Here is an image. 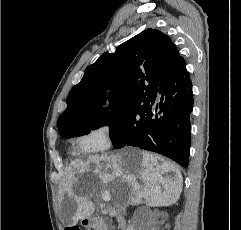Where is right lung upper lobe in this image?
<instances>
[{
    "label": "right lung upper lobe",
    "instance_id": "obj_1",
    "mask_svg": "<svg viewBox=\"0 0 241 230\" xmlns=\"http://www.w3.org/2000/svg\"><path fill=\"white\" fill-rule=\"evenodd\" d=\"M180 59L183 58L170 38L151 28L118 46L115 53H103L69 92L68 107L58 119L59 132L104 118L114 109L147 102ZM107 91L110 112L101 107Z\"/></svg>",
    "mask_w": 241,
    "mask_h": 230
}]
</instances>
